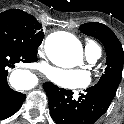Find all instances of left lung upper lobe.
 <instances>
[{"instance_id": "1", "label": "left lung upper lobe", "mask_w": 124, "mask_h": 124, "mask_svg": "<svg viewBox=\"0 0 124 124\" xmlns=\"http://www.w3.org/2000/svg\"><path fill=\"white\" fill-rule=\"evenodd\" d=\"M79 29L84 34L99 39L104 45L107 67L105 74L100 78L95 87L105 88L115 96L122 79L124 63V52L120 41L109 27L101 23H85Z\"/></svg>"}]
</instances>
